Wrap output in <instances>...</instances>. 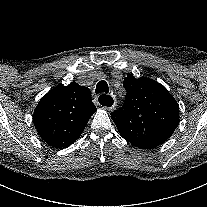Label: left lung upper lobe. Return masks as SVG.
Wrapping results in <instances>:
<instances>
[{"instance_id":"5c2ea615","label":"left lung upper lobe","mask_w":207,"mask_h":207,"mask_svg":"<svg viewBox=\"0 0 207 207\" xmlns=\"http://www.w3.org/2000/svg\"><path fill=\"white\" fill-rule=\"evenodd\" d=\"M123 108L111 113L120 135L135 147L155 148L165 142L179 123V105L157 81L132 74L124 79Z\"/></svg>"}]
</instances>
